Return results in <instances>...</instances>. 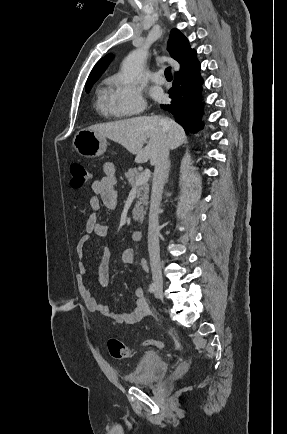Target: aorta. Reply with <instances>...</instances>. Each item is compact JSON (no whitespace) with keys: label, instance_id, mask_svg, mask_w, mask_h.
Masks as SVG:
<instances>
[{"label":"aorta","instance_id":"obj_1","mask_svg":"<svg viewBox=\"0 0 287 434\" xmlns=\"http://www.w3.org/2000/svg\"><path fill=\"white\" fill-rule=\"evenodd\" d=\"M147 58V49L142 47L132 51L122 63L123 78L128 83H134L140 75L143 63Z\"/></svg>","mask_w":287,"mask_h":434}]
</instances>
